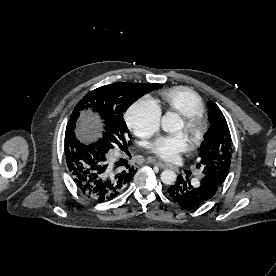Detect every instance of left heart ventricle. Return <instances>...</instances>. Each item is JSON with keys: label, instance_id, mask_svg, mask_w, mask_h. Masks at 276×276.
<instances>
[{"label": "left heart ventricle", "instance_id": "b2bd125f", "mask_svg": "<svg viewBox=\"0 0 276 276\" xmlns=\"http://www.w3.org/2000/svg\"><path fill=\"white\" fill-rule=\"evenodd\" d=\"M176 131L182 133L184 136H187L189 138V135L186 132L185 125H184L183 121H181V124Z\"/></svg>", "mask_w": 276, "mask_h": 276}]
</instances>
